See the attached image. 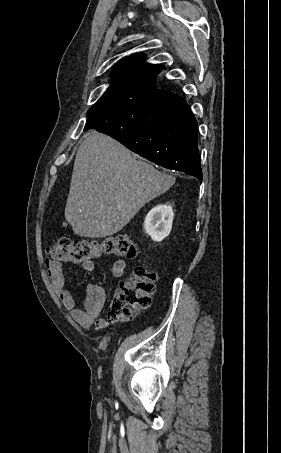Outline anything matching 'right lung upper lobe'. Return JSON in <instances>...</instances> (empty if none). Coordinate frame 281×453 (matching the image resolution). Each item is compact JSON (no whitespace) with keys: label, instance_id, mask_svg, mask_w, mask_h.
Returning <instances> with one entry per match:
<instances>
[{"label":"right lung upper lobe","instance_id":"right-lung-upper-lobe-1","mask_svg":"<svg viewBox=\"0 0 281 453\" xmlns=\"http://www.w3.org/2000/svg\"><path fill=\"white\" fill-rule=\"evenodd\" d=\"M162 65H153L144 62L143 54H135L118 61L113 68V75L117 80L90 109L109 107L125 100L130 101L144 93L157 88L156 78Z\"/></svg>","mask_w":281,"mask_h":453}]
</instances>
